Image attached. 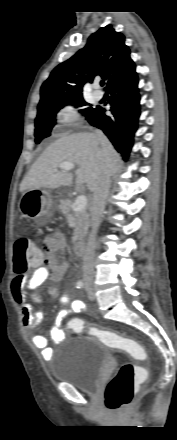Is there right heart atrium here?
<instances>
[{"label":"right heart atrium","mask_w":177,"mask_h":440,"mask_svg":"<svg viewBox=\"0 0 177 440\" xmlns=\"http://www.w3.org/2000/svg\"><path fill=\"white\" fill-rule=\"evenodd\" d=\"M56 120L63 125H73L78 120L76 109L72 105H65L56 114Z\"/></svg>","instance_id":"obj_1"}]
</instances>
